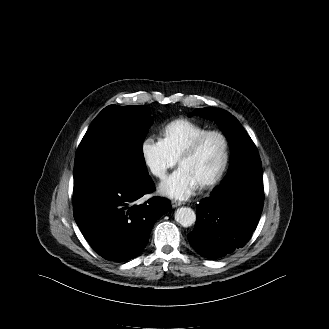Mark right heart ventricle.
<instances>
[{
	"mask_svg": "<svg viewBox=\"0 0 329 329\" xmlns=\"http://www.w3.org/2000/svg\"><path fill=\"white\" fill-rule=\"evenodd\" d=\"M207 128L187 119H176L166 124L161 130V140L178 159L187 145Z\"/></svg>",
	"mask_w": 329,
	"mask_h": 329,
	"instance_id": "right-heart-ventricle-1",
	"label": "right heart ventricle"
}]
</instances>
